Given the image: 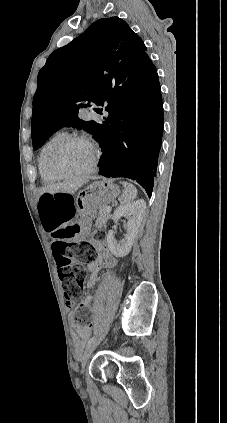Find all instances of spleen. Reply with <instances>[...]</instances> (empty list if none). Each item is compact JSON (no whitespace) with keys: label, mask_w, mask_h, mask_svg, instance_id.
I'll return each instance as SVG.
<instances>
[{"label":"spleen","mask_w":227,"mask_h":423,"mask_svg":"<svg viewBox=\"0 0 227 423\" xmlns=\"http://www.w3.org/2000/svg\"><path fill=\"white\" fill-rule=\"evenodd\" d=\"M120 184H122L124 188L121 198V204H124V206H129V204H132V200L136 198L137 190L135 186H132V184H128V182H120Z\"/></svg>","instance_id":"3e777b00"}]
</instances>
